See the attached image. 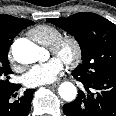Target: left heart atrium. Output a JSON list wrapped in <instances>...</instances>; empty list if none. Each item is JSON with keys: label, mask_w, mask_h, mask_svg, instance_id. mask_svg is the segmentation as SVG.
I'll list each match as a JSON object with an SVG mask.
<instances>
[{"label": "left heart atrium", "mask_w": 116, "mask_h": 116, "mask_svg": "<svg viewBox=\"0 0 116 116\" xmlns=\"http://www.w3.org/2000/svg\"><path fill=\"white\" fill-rule=\"evenodd\" d=\"M65 66V61L55 56L48 61L32 66L24 75L23 83L28 87L50 84L57 80Z\"/></svg>", "instance_id": "1"}]
</instances>
